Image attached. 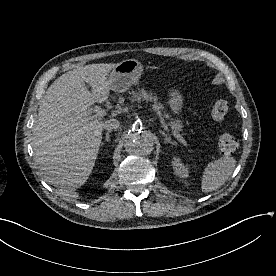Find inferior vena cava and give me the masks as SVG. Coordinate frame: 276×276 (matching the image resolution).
<instances>
[{
  "label": "inferior vena cava",
  "mask_w": 276,
  "mask_h": 276,
  "mask_svg": "<svg viewBox=\"0 0 276 276\" xmlns=\"http://www.w3.org/2000/svg\"><path fill=\"white\" fill-rule=\"evenodd\" d=\"M120 126V122L117 119H109L104 122L103 129L107 131H112L113 129H117Z\"/></svg>",
  "instance_id": "1"
}]
</instances>
